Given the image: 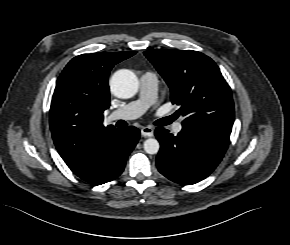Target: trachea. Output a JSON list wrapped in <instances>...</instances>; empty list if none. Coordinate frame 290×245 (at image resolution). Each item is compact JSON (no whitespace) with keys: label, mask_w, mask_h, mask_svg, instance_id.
I'll use <instances>...</instances> for the list:
<instances>
[{"label":"trachea","mask_w":290,"mask_h":245,"mask_svg":"<svg viewBox=\"0 0 290 245\" xmlns=\"http://www.w3.org/2000/svg\"><path fill=\"white\" fill-rule=\"evenodd\" d=\"M156 125H161V120L156 121Z\"/></svg>","instance_id":"obj_1"}]
</instances>
